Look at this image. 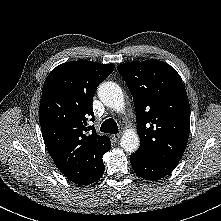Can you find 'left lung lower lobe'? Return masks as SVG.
Here are the masks:
<instances>
[{
    "mask_svg": "<svg viewBox=\"0 0 221 221\" xmlns=\"http://www.w3.org/2000/svg\"><path fill=\"white\" fill-rule=\"evenodd\" d=\"M130 162L135 173L147 180L163 178L177 166L176 163L155 161L137 153H133L130 156Z\"/></svg>",
    "mask_w": 221,
    "mask_h": 221,
    "instance_id": "obj_1",
    "label": "left lung lower lobe"
}]
</instances>
